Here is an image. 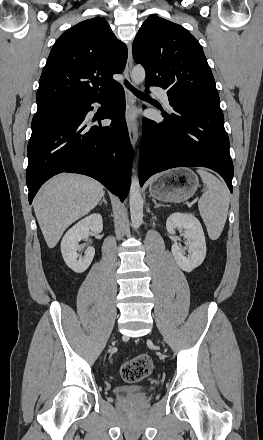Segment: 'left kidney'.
<instances>
[{
  "instance_id": "left-kidney-1",
  "label": "left kidney",
  "mask_w": 263,
  "mask_h": 440,
  "mask_svg": "<svg viewBox=\"0 0 263 440\" xmlns=\"http://www.w3.org/2000/svg\"><path fill=\"white\" fill-rule=\"evenodd\" d=\"M166 229L170 234H175V229L184 230V237L187 239V257L177 243L171 247L177 265L185 272H191L201 265L206 255V242L199 220L191 214L173 213L167 218Z\"/></svg>"
}]
</instances>
